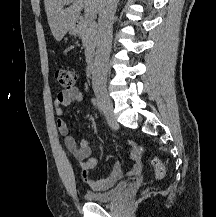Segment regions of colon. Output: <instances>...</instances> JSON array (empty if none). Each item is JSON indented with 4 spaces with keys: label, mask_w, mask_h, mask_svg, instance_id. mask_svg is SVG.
Returning a JSON list of instances; mask_svg holds the SVG:
<instances>
[{
    "label": "colon",
    "mask_w": 216,
    "mask_h": 217,
    "mask_svg": "<svg viewBox=\"0 0 216 217\" xmlns=\"http://www.w3.org/2000/svg\"><path fill=\"white\" fill-rule=\"evenodd\" d=\"M55 78L58 84L65 90H70L74 88L76 83L75 73L65 68H58L55 72ZM131 151H132V156L139 157L143 153V147L139 144L134 143ZM152 165L154 168L156 178L162 179L166 173L162 161L158 157H155L152 160Z\"/></svg>",
    "instance_id": "5ec220e1"
}]
</instances>
